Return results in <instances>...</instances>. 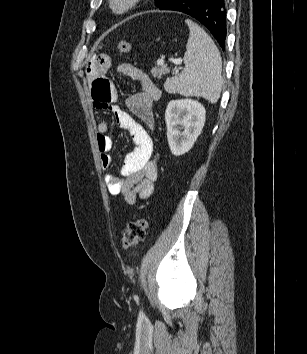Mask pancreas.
<instances>
[{"mask_svg":"<svg viewBox=\"0 0 307 354\" xmlns=\"http://www.w3.org/2000/svg\"><path fill=\"white\" fill-rule=\"evenodd\" d=\"M151 73L152 75L155 77V78H158V79H161L162 76H164L165 74L169 73V69L166 65H160L158 64V66L154 67L152 70H151Z\"/></svg>","mask_w":307,"mask_h":354,"instance_id":"cf45deb5","label":"pancreas"}]
</instances>
